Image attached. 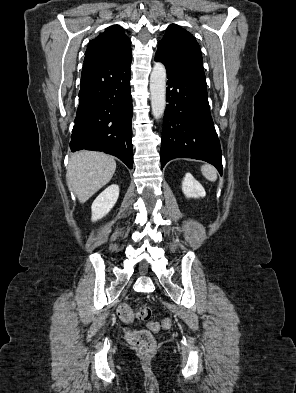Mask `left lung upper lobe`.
<instances>
[{"mask_svg": "<svg viewBox=\"0 0 296 393\" xmlns=\"http://www.w3.org/2000/svg\"><path fill=\"white\" fill-rule=\"evenodd\" d=\"M155 57L168 66L204 72L197 41L191 33L175 24L167 28Z\"/></svg>", "mask_w": 296, "mask_h": 393, "instance_id": "left-lung-upper-lobe-1", "label": "left lung upper lobe"}]
</instances>
